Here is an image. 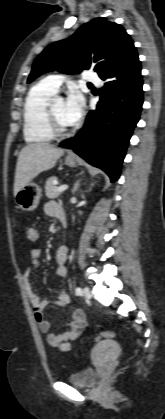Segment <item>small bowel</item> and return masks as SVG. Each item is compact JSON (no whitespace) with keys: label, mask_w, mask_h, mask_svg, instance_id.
<instances>
[{"label":"small bowel","mask_w":165,"mask_h":419,"mask_svg":"<svg viewBox=\"0 0 165 419\" xmlns=\"http://www.w3.org/2000/svg\"><path fill=\"white\" fill-rule=\"evenodd\" d=\"M57 208L58 205L53 202H49L45 205V213L49 216L57 217ZM31 232L35 233V236H31ZM27 238L31 242H36L39 239L38 230L35 227L27 228ZM41 249L35 248L31 251V259L34 268H39ZM68 256V249L65 246H60L55 254V259L57 263L56 269V281L67 276V268L65 262ZM31 267H27L23 274V281L27 297L34 309L35 319L38 324V327L42 333H46L47 343L57 349L60 352H70L73 351L76 347L74 341L77 340L83 333L86 328V316L82 310H75L71 316L68 324L66 325V330L61 333H49L50 323L44 317V310L50 304H55L59 307H66L70 301V295L65 290H58V297L55 302H51L48 299H41L35 290L33 289L30 283Z\"/></svg>","instance_id":"1"}]
</instances>
